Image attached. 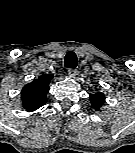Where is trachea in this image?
Segmentation results:
<instances>
[{"label": "trachea", "instance_id": "obj_1", "mask_svg": "<svg viewBox=\"0 0 135 153\" xmlns=\"http://www.w3.org/2000/svg\"><path fill=\"white\" fill-rule=\"evenodd\" d=\"M64 65L67 68L74 69L77 66V56L73 51H69L64 58Z\"/></svg>", "mask_w": 135, "mask_h": 153}]
</instances>
